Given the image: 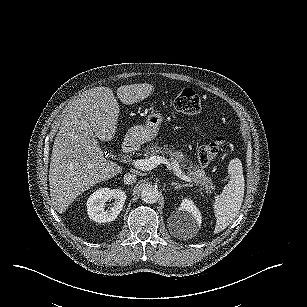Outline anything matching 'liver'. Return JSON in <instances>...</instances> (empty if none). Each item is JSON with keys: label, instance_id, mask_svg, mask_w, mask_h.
Here are the masks:
<instances>
[{"label": "liver", "instance_id": "liver-1", "mask_svg": "<svg viewBox=\"0 0 307 307\" xmlns=\"http://www.w3.org/2000/svg\"><path fill=\"white\" fill-rule=\"evenodd\" d=\"M153 91L148 83L122 85L117 96L123 104L132 105ZM119 112L108 87L89 89L70 104L54 140L48 175L51 202L58 213L90 187L122 172V167L104 157L98 143V139L114 138Z\"/></svg>", "mask_w": 307, "mask_h": 307}]
</instances>
